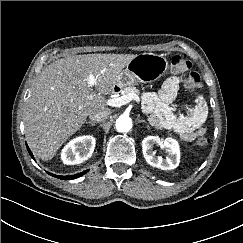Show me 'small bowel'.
<instances>
[{"label": "small bowel", "mask_w": 243, "mask_h": 243, "mask_svg": "<svg viewBox=\"0 0 243 243\" xmlns=\"http://www.w3.org/2000/svg\"><path fill=\"white\" fill-rule=\"evenodd\" d=\"M179 84L177 76L167 79L158 93L145 96V109L152 113L151 122L155 126L174 132L184 141H192L198 132L204 131L208 107L204 98L198 96L186 115L177 116L169 103L175 99Z\"/></svg>", "instance_id": "obj_1"}]
</instances>
